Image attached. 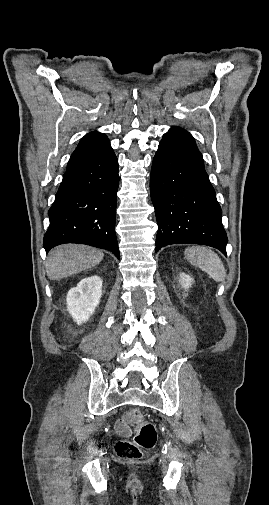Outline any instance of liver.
<instances>
[{"label":"liver","instance_id":"6515ba94","mask_svg":"<svg viewBox=\"0 0 269 505\" xmlns=\"http://www.w3.org/2000/svg\"><path fill=\"white\" fill-rule=\"evenodd\" d=\"M102 251L86 245L65 244L52 249L47 258L46 272L50 280H59L98 265Z\"/></svg>","mask_w":269,"mask_h":505}]
</instances>
